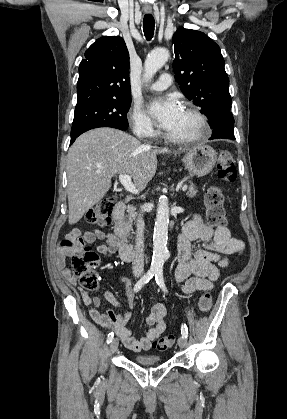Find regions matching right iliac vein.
<instances>
[{
    "label": "right iliac vein",
    "instance_id": "obj_1",
    "mask_svg": "<svg viewBox=\"0 0 287 419\" xmlns=\"http://www.w3.org/2000/svg\"><path fill=\"white\" fill-rule=\"evenodd\" d=\"M118 344H119V341H118V339L117 338H114L111 342H110V353H115L116 351H117V349H118Z\"/></svg>",
    "mask_w": 287,
    "mask_h": 419
}]
</instances>
